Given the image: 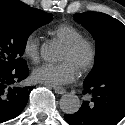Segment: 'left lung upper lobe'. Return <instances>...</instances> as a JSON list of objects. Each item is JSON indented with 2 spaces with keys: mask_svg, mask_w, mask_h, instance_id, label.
Here are the masks:
<instances>
[{
  "mask_svg": "<svg viewBox=\"0 0 125 125\" xmlns=\"http://www.w3.org/2000/svg\"><path fill=\"white\" fill-rule=\"evenodd\" d=\"M96 41L95 63L85 81L92 82L113 72H125V26L117 19L99 12L74 15Z\"/></svg>",
  "mask_w": 125,
  "mask_h": 125,
  "instance_id": "left-lung-upper-lobe-1",
  "label": "left lung upper lobe"
}]
</instances>
